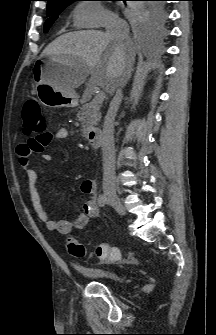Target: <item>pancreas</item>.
I'll return each instance as SVG.
<instances>
[{
    "label": "pancreas",
    "mask_w": 216,
    "mask_h": 335,
    "mask_svg": "<svg viewBox=\"0 0 216 335\" xmlns=\"http://www.w3.org/2000/svg\"><path fill=\"white\" fill-rule=\"evenodd\" d=\"M92 95V90L87 89L81 99L83 104L80 110L78 111L77 117L82 124V133H86L93 127L96 126L101 119L100 105L99 103L95 104L92 102L87 103Z\"/></svg>",
    "instance_id": "cf45deb5"
}]
</instances>
